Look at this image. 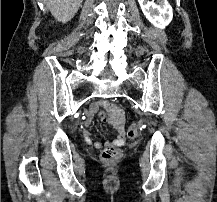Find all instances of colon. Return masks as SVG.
<instances>
[{
  "mask_svg": "<svg viewBox=\"0 0 217 202\" xmlns=\"http://www.w3.org/2000/svg\"><path fill=\"white\" fill-rule=\"evenodd\" d=\"M97 115L98 123H104L106 121V113H100V111H98ZM136 134L137 131L135 129V126H132L128 131V136L133 140ZM120 156L121 151L116 147H107L101 153L102 159L107 162H115L120 158Z\"/></svg>",
  "mask_w": 217,
  "mask_h": 202,
  "instance_id": "colon-1",
  "label": "colon"
}]
</instances>
